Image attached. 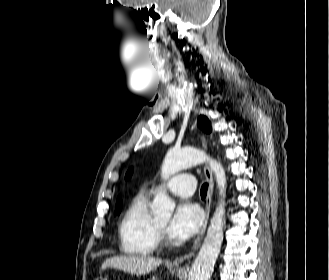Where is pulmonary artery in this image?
Returning <instances> with one entry per match:
<instances>
[{
    "label": "pulmonary artery",
    "mask_w": 329,
    "mask_h": 280,
    "mask_svg": "<svg viewBox=\"0 0 329 280\" xmlns=\"http://www.w3.org/2000/svg\"><path fill=\"white\" fill-rule=\"evenodd\" d=\"M165 187L174 195L179 197H189L194 193L196 188V181L193 175L188 173H181L172 177ZM154 189H152V192Z\"/></svg>",
    "instance_id": "pulmonary-artery-1"
}]
</instances>
